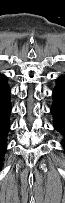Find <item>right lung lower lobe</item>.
<instances>
[{"label":"right lung lower lobe","instance_id":"98d812e1","mask_svg":"<svg viewBox=\"0 0 65 203\" xmlns=\"http://www.w3.org/2000/svg\"><path fill=\"white\" fill-rule=\"evenodd\" d=\"M10 88L6 77L0 74V167L6 149V137L10 127Z\"/></svg>","mask_w":65,"mask_h":203}]
</instances>
